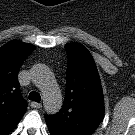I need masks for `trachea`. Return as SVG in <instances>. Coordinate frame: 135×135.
Instances as JSON below:
<instances>
[{
    "label": "trachea",
    "mask_w": 135,
    "mask_h": 135,
    "mask_svg": "<svg viewBox=\"0 0 135 135\" xmlns=\"http://www.w3.org/2000/svg\"><path fill=\"white\" fill-rule=\"evenodd\" d=\"M29 100L35 101V102H40L41 100V96L38 92L32 91L29 96H28Z\"/></svg>",
    "instance_id": "trachea-1"
}]
</instances>
